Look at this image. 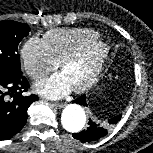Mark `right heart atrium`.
I'll list each match as a JSON object with an SVG mask.
<instances>
[{
	"instance_id": "1",
	"label": "right heart atrium",
	"mask_w": 153,
	"mask_h": 153,
	"mask_svg": "<svg viewBox=\"0 0 153 153\" xmlns=\"http://www.w3.org/2000/svg\"><path fill=\"white\" fill-rule=\"evenodd\" d=\"M20 55L25 72L34 80L44 78L58 66L44 40L38 37H31L26 40Z\"/></svg>"
}]
</instances>
